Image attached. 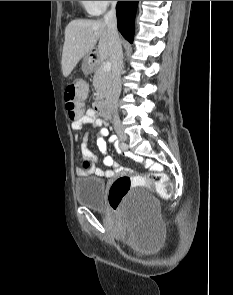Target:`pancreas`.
<instances>
[{
    "label": "pancreas",
    "instance_id": "obj_1",
    "mask_svg": "<svg viewBox=\"0 0 233 295\" xmlns=\"http://www.w3.org/2000/svg\"><path fill=\"white\" fill-rule=\"evenodd\" d=\"M93 86L99 98H104L109 95L111 87V72L103 71L101 64H98L94 70Z\"/></svg>",
    "mask_w": 233,
    "mask_h": 295
}]
</instances>
